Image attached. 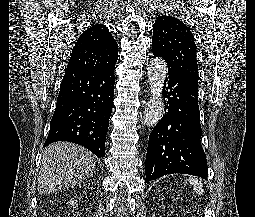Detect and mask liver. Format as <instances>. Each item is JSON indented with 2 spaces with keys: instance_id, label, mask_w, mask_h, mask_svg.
Instances as JSON below:
<instances>
[{
  "instance_id": "liver-1",
  "label": "liver",
  "mask_w": 255,
  "mask_h": 217,
  "mask_svg": "<svg viewBox=\"0 0 255 217\" xmlns=\"http://www.w3.org/2000/svg\"><path fill=\"white\" fill-rule=\"evenodd\" d=\"M95 167V156L82 146L53 143L42 155L38 192L45 195L79 184L93 174Z\"/></svg>"
}]
</instances>
